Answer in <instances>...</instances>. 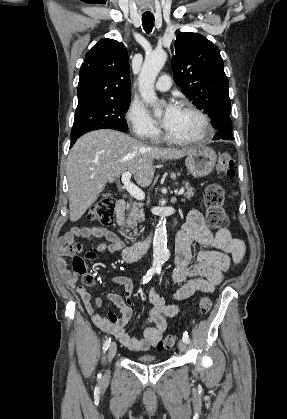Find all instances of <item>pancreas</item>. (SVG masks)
Instances as JSON below:
<instances>
[{"label": "pancreas", "mask_w": 287, "mask_h": 419, "mask_svg": "<svg viewBox=\"0 0 287 419\" xmlns=\"http://www.w3.org/2000/svg\"><path fill=\"white\" fill-rule=\"evenodd\" d=\"M184 197L190 199L194 196V188L191 187L187 182L183 183ZM141 203H132L128 206V213L120 220V224L126 227V232L129 230H134V233H137L138 223L144 220V209Z\"/></svg>", "instance_id": "pancreas-1"}]
</instances>
